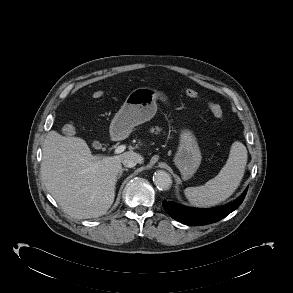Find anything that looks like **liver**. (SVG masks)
Wrapping results in <instances>:
<instances>
[{
  "label": "liver",
  "mask_w": 293,
  "mask_h": 293,
  "mask_svg": "<svg viewBox=\"0 0 293 293\" xmlns=\"http://www.w3.org/2000/svg\"><path fill=\"white\" fill-rule=\"evenodd\" d=\"M127 153L135 152L96 156L83 139L50 131L42 146L41 177L69 216L97 218L106 214L114 202L117 176ZM137 155L141 163L143 158Z\"/></svg>",
  "instance_id": "obj_1"
}]
</instances>
